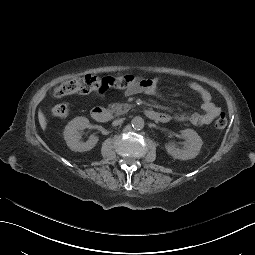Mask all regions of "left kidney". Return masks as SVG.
I'll list each match as a JSON object with an SVG mask.
<instances>
[{
	"label": "left kidney",
	"mask_w": 255,
	"mask_h": 255,
	"mask_svg": "<svg viewBox=\"0 0 255 255\" xmlns=\"http://www.w3.org/2000/svg\"><path fill=\"white\" fill-rule=\"evenodd\" d=\"M181 135L186 140L184 147L179 150L174 147L172 142L166 143L164 146L168 155L182 161L194 159L200 152L203 144L202 139L191 129L183 130Z\"/></svg>",
	"instance_id": "left-kidney-1"
}]
</instances>
